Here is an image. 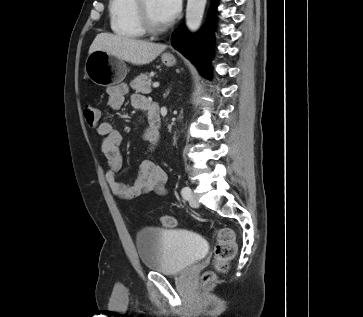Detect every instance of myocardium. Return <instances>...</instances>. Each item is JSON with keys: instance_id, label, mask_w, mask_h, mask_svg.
<instances>
[{"instance_id": "obj_1", "label": "myocardium", "mask_w": 363, "mask_h": 317, "mask_svg": "<svg viewBox=\"0 0 363 317\" xmlns=\"http://www.w3.org/2000/svg\"><path fill=\"white\" fill-rule=\"evenodd\" d=\"M145 2L146 0H135V14L140 26L149 34H159L164 32L167 29V26H157L151 21L145 7Z\"/></svg>"}]
</instances>
